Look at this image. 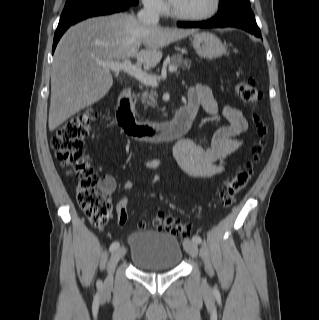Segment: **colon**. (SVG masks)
Segmentation results:
<instances>
[{"label":"colon","instance_id":"colon-1","mask_svg":"<svg viewBox=\"0 0 319 320\" xmlns=\"http://www.w3.org/2000/svg\"><path fill=\"white\" fill-rule=\"evenodd\" d=\"M235 89L240 99L252 106L262 98V93L253 79L239 81ZM97 116V111L88 109L71 117L57 129L51 145L58 159L71 167L72 174L78 180L77 200L88 220L95 226H102L111 219L110 194L115 185L111 177L100 176L95 172L83 151V141L89 136L91 125ZM256 126L260 139L251 147L252 160L240 166L233 177L224 183L220 191L223 206H230L235 195L248 184L252 176L253 162L258 161L264 150L267 128L260 120H256ZM127 219L128 211L118 213L119 224L124 225ZM152 225L158 230H164L182 238H188L191 235L190 226L173 215H155L152 218ZM145 226L144 221L138 223L140 228Z\"/></svg>","mask_w":319,"mask_h":320}]
</instances>
